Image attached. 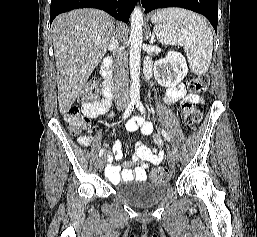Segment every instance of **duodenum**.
Here are the masks:
<instances>
[{
	"mask_svg": "<svg viewBox=\"0 0 257 237\" xmlns=\"http://www.w3.org/2000/svg\"><path fill=\"white\" fill-rule=\"evenodd\" d=\"M112 57H106L101 65L100 74L103 81V93L106 98L113 97V77L111 73Z\"/></svg>",
	"mask_w": 257,
	"mask_h": 237,
	"instance_id": "1",
	"label": "duodenum"
}]
</instances>
